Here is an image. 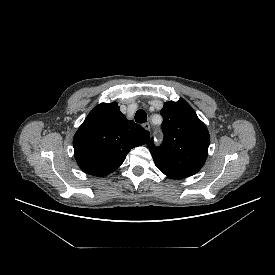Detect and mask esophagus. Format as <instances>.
I'll return each mask as SVG.
<instances>
[{"label": "esophagus", "mask_w": 275, "mask_h": 275, "mask_svg": "<svg viewBox=\"0 0 275 275\" xmlns=\"http://www.w3.org/2000/svg\"><path fill=\"white\" fill-rule=\"evenodd\" d=\"M143 128L147 131H150L151 129L150 124L148 122L143 124Z\"/></svg>", "instance_id": "1"}]
</instances>
